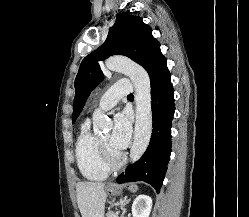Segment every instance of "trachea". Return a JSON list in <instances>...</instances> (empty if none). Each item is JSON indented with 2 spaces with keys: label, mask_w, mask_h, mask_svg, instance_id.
Segmentation results:
<instances>
[{
  "label": "trachea",
  "mask_w": 249,
  "mask_h": 217,
  "mask_svg": "<svg viewBox=\"0 0 249 217\" xmlns=\"http://www.w3.org/2000/svg\"><path fill=\"white\" fill-rule=\"evenodd\" d=\"M131 96H133V94L128 95V97H131Z\"/></svg>",
  "instance_id": "obj_1"
}]
</instances>
